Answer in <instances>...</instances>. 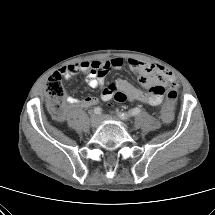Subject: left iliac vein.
Wrapping results in <instances>:
<instances>
[{
  "label": "left iliac vein",
  "instance_id": "obj_1",
  "mask_svg": "<svg viewBox=\"0 0 215 215\" xmlns=\"http://www.w3.org/2000/svg\"><path fill=\"white\" fill-rule=\"evenodd\" d=\"M101 120H119L117 117L115 116H111V115H101L100 116Z\"/></svg>",
  "mask_w": 215,
  "mask_h": 215
}]
</instances>
